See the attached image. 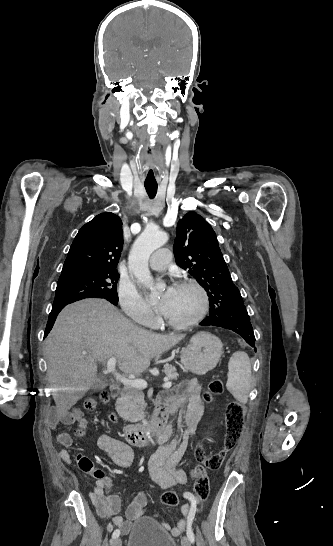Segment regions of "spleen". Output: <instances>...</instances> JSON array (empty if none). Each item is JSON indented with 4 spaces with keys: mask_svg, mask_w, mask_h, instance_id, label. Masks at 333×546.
I'll return each mask as SVG.
<instances>
[{
    "mask_svg": "<svg viewBox=\"0 0 333 546\" xmlns=\"http://www.w3.org/2000/svg\"><path fill=\"white\" fill-rule=\"evenodd\" d=\"M227 389L236 400L247 403L251 389V363L245 352H235L228 363Z\"/></svg>",
    "mask_w": 333,
    "mask_h": 546,
    "instance_id": "3e777b00",
    "label": "spleen"
}]
</instances>
